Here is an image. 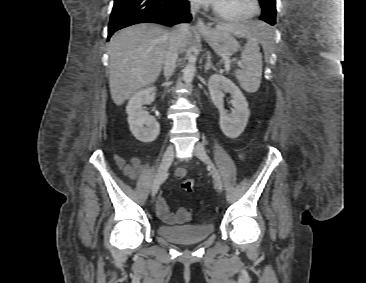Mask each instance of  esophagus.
Returning a JSON list of instances; mask_svg holds the SVG:
<instances>
[{
    "label": "esophagus",
    "mask_w": 366,
    "mask_h": 283,
    "mask_svg": "<svg viewBox=\"0 0 366 283\" xmlns=\"http://www.w3.org/2000/svg\"><path fill=\"white\" fill-rule=\"evenodd\" d=\"M196 28L199 31H208L209 30V27L201 19H198V21L196 23Z\"/></svg>",
    "instance_id": "34e87169"
}]
</instances>
